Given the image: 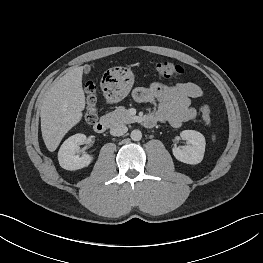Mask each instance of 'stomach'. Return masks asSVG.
I'll use <instances>...</instances> for the list:
<instances>
[{"mask_svg": "<svg viewBox=\"0 0 263 263\" xmlns=\"http://www.w3.org/2000/svg\"><path fill=\"white\" fill-rule=\"evenodd\" d=\"M133 84L134 74L130 69L114 67L105 73L102 86L110 102H119L129 94Z\"/></svg>", "mask_w": 263, "mask_h": 263, "instance_id": "1", "label": "stomach"}]
</instances>
